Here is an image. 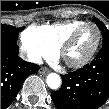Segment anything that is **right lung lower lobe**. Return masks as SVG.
Masks as SVG:
<instances>
[{
  "label": "right lung lower lobe",
  "mask_w": 109,
  "mask_h": 109,
  "mask_svg": "<svg viewBox=\"0 0 109 109\" xmlns=\"http://www.w3.org/2000/svg\"><path fill=\"white\" fill-rule=\"evenodd\" d=\"M18 52L17 45L1 39V109L12 103L24 80L39 70L38 65L18 57Z\"/></svg>",
  "instance_id": "98d812e1"
}]
</instances>
